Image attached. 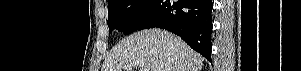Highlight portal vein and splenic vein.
<instances>
[{"mask_svg":"<svg viewBox=\"0 0 301 71\" xmlns=\"http://www.w3.org/2000/svg\"><path fill=\"white\" fill-rule=\"evenodd\" d=\"M140 71H149V70L146 68H140Z\"/></svg>","mask_w":301,"mask_h":71,"instance_id":"1","label":"portal vein and splenic vein"}]
</instances>
